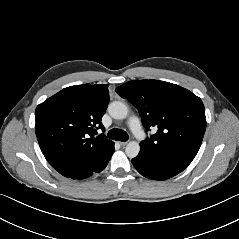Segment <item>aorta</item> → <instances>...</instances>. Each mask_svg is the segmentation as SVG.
<instances>
[{
  "instance_id": "762f6f07",
  "label": "aorta",
  "mask_w": 239,
  "mask_h": 239,
  "mask_svg": "<svg viewBox=\"0 0 239 239\" xmlns=\"http://www.w3.org/2000/svg\"><path fill=\"white\" fill-rule=\"evenodd\" d=\"M108 112L114 119H124L128 115V107L121 101H114L109 104ZM139 151L140 145L137 141H130L125 148V153L129 158H135Z\"/></svg>"
}]
</instances>
